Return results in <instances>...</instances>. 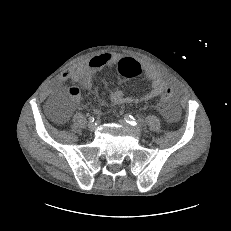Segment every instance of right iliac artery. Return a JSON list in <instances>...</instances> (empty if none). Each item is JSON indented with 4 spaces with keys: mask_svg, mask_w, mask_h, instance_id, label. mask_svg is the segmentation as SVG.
I'll return each mask as SVG.
<instances>
[{
    "mask_svg": "<svg viewBox=\"0 0 231 231\" xmlns=\"http://www.w3.org/2000/svg\"><path fill=\"white\" fill-rule=\"evenodd\" d=\"M88 120H89L90 122H94V117L91 116V117L88 118Z\"/></svg>",
    "mask_w": 231,
    "mask_h": 231,
    "instance_id": "82829eb1",
    "label": "right iliac artery"
}]
</instances>
